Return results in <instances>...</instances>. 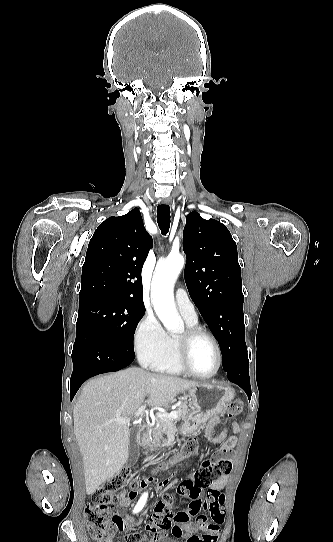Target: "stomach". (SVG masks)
Here are the masks:
<instances>
[{
  "instance_id": "stomach-1",
  "label": "stomach",
  "mask_w": 333,
  "mask_h": 542,
  "mask_svg": "<svg viewBox=\"0 0 333 542\" xmlns=\"http://www.w3.org/2000/svg\"><path fill=\"white\" fill-rule=\"evenodd\" d=\"M190 398L192 416L188 422L181 426V432H184L188 438L198 437L199 429L202 424H206L208 420L214 416H221L227 402H230L235 396L233 388L230 386H216V384H205L200 382L196 388L187 390Z\"/></svg>"
}]
</instances>
